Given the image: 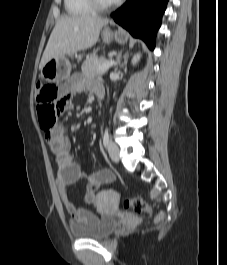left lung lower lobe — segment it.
<instances>
[{"mask_svg":"<svg viewBox=\"0 0 227 265\" xmlns=\"http://www.w3.org/2000/svg\"><path fill=\"white\" fill-rule=\"evenodd\" d=\"M168 0H127L113 19L127 29L132 36L141 38L150 49L155 47L156 32Z\"/></svg>","mask_w":227,"mask_h":265,"instance_id":"obj_1","label":"left lung lower lobe"}]
</instances>
